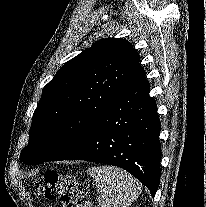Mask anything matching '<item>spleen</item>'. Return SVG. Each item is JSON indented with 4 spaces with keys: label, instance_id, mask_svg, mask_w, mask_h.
Returning <instances> with one entry per match:
<instances>
[{
    "label": "spleen",
    "instance_id": "obj_1",
    "mask_svg": "<svg viewBox=\"0 0 206 207\" xmlns=\"http://www.w3.org/2000/svg\"><path fill=\"white\" fill-rule=\"evenodd\" d=\"M88 174L96 181L101 207H129L141 193V185L128 172L114 166H95Z\"/></svg>",
    "mask_w": 206,
    "mask_h": 207
}]
</instances>
